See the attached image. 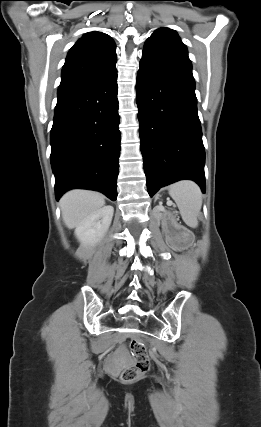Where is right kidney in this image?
Masks as SVG:
<instances>
[{
    "label": "right kidney",
    "instance_id": "1",
    "mask_svg": "<svg viewBox=\"0 0 261 427\" xmlns=\"http://www.w3.org/2000/svg\"><path fill=\"white\" fill-rule=\"evenodd\" d=\"M114 213L112 206H104L96 213L85 219L75 229V235L84 245H93L99 242L107 232Z\"/></svg>",
    "mask_w": 261,
    "mask_h": 427
}]
</instances>
